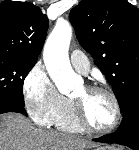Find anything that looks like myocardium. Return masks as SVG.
<instances>
[{
  "label": "myocardium",
  "mask_w": 139,
  "mask_h": 150,
  "mask_svg": "<svg viewBox=\"0 0 139 150\" xmlns=\"http://www.w3.org/2000/svg\"><path fill=\"white\" fill-rule=\"evenodd\" d=\"M85 88L90 92H102L110 97L114 107V120L111 125L106 128L99 129L93 127L86 118L83 103L80 100L72 98L71 101L73 104L74 115L77 123L83 130L93 134H109L113 132L119 126L122 118L121 104L117 95L111 89L103 85L87 84L85 85Z\"/></svg>",
  "instance_id": "obj_1"
}]
</instances>
